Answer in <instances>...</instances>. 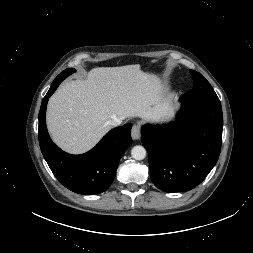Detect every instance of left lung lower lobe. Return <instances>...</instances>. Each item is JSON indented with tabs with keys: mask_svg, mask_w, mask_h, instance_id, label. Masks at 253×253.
<instances>
[{
	"mask_svg": "<svg viewBox=\"0 0 253 253\" xmlns=\"http://www.w3.org/2000/svg\"><path fill=\"white\" fill-rule=\"evenodd\" d=\"M181 102L176 123L141 129L151 180L169 193L199 185L216 164L222 143L221 104Z\"/></svg>",
	"mask_w": 253,
	"mask_h": 253,
	"instance_id": "0a47b994",
	"label": "left lung lower lobe"
}]
</instances>
